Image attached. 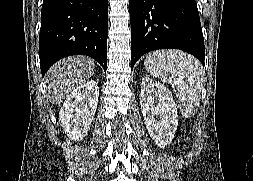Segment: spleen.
I'll use <instances>...</instances> for the list:
<instances>
[{"mask_svg":"<svg viewBox=\"0 0 253 181\" xmlns=\"http://www.w3.org/2000/svg\"><path fill=\"white\" fill-rule=\"evenodd\" d=\"M144 66L153 77L172 85L182 115L186 118L192 117L199 105L203 85L200 62L181 51L160 50L150 53Z\"/></svg>","mask_w":253,"mask_h":181,"instance_id":"1","label":"spleen"}]
</instances>
